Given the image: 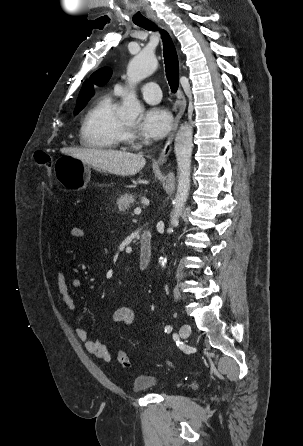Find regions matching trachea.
<instances>
[{"instance_id": "3493384b", "label": "trachea", "mask_w": 303, "mask_h": 446, "mask_svg": "<svg viewBox=\"0 0 303 446\" xmlns=\"http://www.w3.org/2000/svg\"><path fill=\"white\" fill-rule=\"evenodd\" d=\"M138 26L146 29V30H157L156 24L153 22L147 20L144 22L137 23ZM161 37L163 40V46H164V61H165V72L166 77L169 83V86L171 88V91L173 93H176L179 86V62H178V56L175 49V46L173 44V41L169 34L161 30Z\"/></svg>"}]
</instances>
